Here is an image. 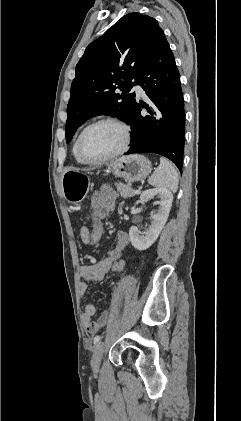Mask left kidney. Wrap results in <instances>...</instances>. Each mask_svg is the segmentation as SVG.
<instances>
[{
  "instance_id": "1",
  "label": "left kidney",
  "mask_w": 241,
  "mask_h": 421,
  "mask_svg": "<svg viewBox=\"0 0 241 421\" xmlns=\"http://www.w3.org/2000/svg\"><path fill=\"white\" fill-rule=\"evenodd\" d=\"M155 196L160 199L155 203L159 205V210L151 216L152 222L148 229L145 232H140L136 226H132L129 230L132 246L140 251L146 250L157 240L172 206L173 194L167 188L145 190L140 196V201L144 203Z\"/></svg>"
}]
</instances>
